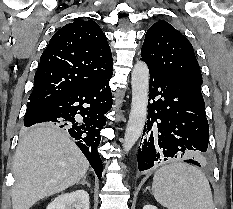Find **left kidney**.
Returning a JSON list of instances; mask_svg holds the SVG:
<instances>
[{
  "instance_id": "1",
  "label": "left kidney",
  "mask_w": 233,
  "mask_h": 209,
  "mask_svg": "<svg viewBox=\"0 0 233 209\" xmlns=\"http://www.w3.org/2000/svg\"><path fill=\"white\" fill-rule=\"evenodd\" d=\"M143 209H158L156 206L153 205H145Z\"/></svg>"
}]
</instances>
